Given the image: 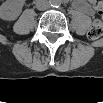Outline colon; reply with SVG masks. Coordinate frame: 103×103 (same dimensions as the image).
<instances>
[{"label":"colon","mask_w":103,"mask_h":103,"mask_svg":"<svg viewBox=\"0 0 103 103\" xmlns=\"http://www.w3.org/2000/svg\"><path fill=\"white\" fill-rule=\"evenodd\" d=\"M94 8L98 11L99 14L103 12V3L101 1H95L93 3ZM103 34V21L101 18L94 20L89 31L88 37L92 40L99 39Z\"/></svg>","instance_id":"colon-1"}]
</instances>
